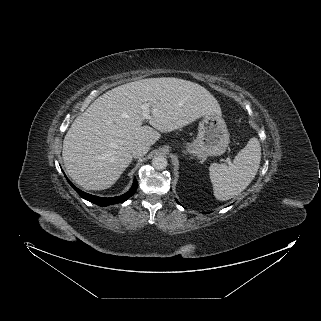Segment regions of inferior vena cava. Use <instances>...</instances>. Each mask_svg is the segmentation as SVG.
<instances>
[{
    "instance_id": "obj_1",
    "label": "inferior vena cava",
    "mask_w": 321,
    "mask_h": 321,
    "mask_svg": "<svg viewBox=\"0 0 321 321\" xmlns=\"http://www.w3.org/2000/svg\"><path fill=\"white\" fill-rule=\"evenodd\" d=\"M149 150V145L145 143H137L131 147V153L134 158L144 156Z\"/></svg>"
}]
</instances>
